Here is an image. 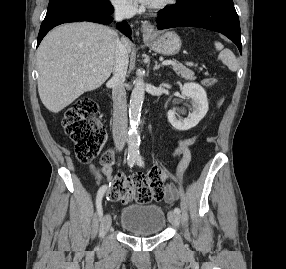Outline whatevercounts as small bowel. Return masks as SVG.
Instances as JSON below:
<instances>
[{"instance_id": "c3829d8e", "label": "small bowel", "mask_w": 286, "mask_h": 269, "mask_svg": "<svg viewBox=\"0 0 286 269\" xmlns=\"http://www.w3.org/2000/svg\"><path fill=\"white\" fill-rule=\"evenodd\" d=\"M206 85H213L214 83H204ZM195 138L194 137H187L180 139L177 143V147L173 152V156L177 157L180 156V162L176 168V179L178 182H181L183 179V175L185 170L188 168L191 159H192V153L190 150L191 145L194 143ZM89 169L91 170L92 174L96 178V180L101 181L103 176L106 177L108 181L113 180L115 177L113 175V168L111 165H105L103 164L102 170L99 171L96 169V167L93 164H89ZM164 180L167 179L168 173L165 170H162ZM178 198V188L176 184L170 183L167 185L166 192L164 194V200L167 203H174Z\"/></svg>"}]
</instances>
